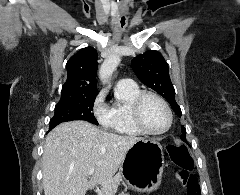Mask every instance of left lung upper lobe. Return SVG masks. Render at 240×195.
I'll return each instance as SVG.
<instances>
[{
  "label": "left lung upper lobe",
  "instance_id": "left-lung-upper-lobe-1",
  "mask_svg": "<svg viewBox=\"0 0 240 195\" xmlns=\"http://www.w3.org/2000/svg\"><path fill=\"white\" fill-rule=\"evenodd\" d=\"M132 68L143 84L163 96L176 114L181 117V109L175 101V90L168 74V65L163 56L154 50L147 51L132 59ZM182 128L185 138V128Z\"/></svg>",
  "mask_w": 240,
  "mask_h": 195
}]
</instances>
